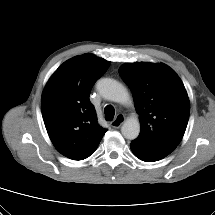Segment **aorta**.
I'll return each instance as SVG.
<instances>
[{"label":"aorta","mask_w":215,"mask_h":215,"mask_svg":"<svg viewBox=\"0 0 215 215\" xmlns=\"http://www.w3.org/2000/svg\"><path fill=\"white\" fill-rule=\"evenodd\" d=\"M96 88L100 95L110 101L120 104L131 102L128 91L118 81L111 78H102L97 82ZM121 132L126 139H136L140 132V123L137 117L128 118L121 127Z\"/></svg>","instance_id":"obj_1"}]
</instances>
